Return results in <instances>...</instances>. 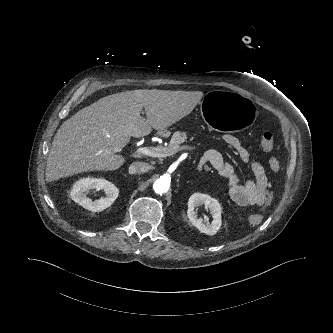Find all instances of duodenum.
Returning a JSON list of instances; mask_svg holds the SVG:
<instances>
[{
  "label": "duodenum",
  "mask_w": 333,
  "mask_h": 333,
  "mask_svg": "<svg viewBox=\"0 0 333 333\" xmlns=\"http://www.w3.org/2000/svg\"><path fill=\"white\" fill-rule=\"evenodd\" d=\"M198 170H201V166L200 165H198Z\"/></svg>",
  "instance_id": "duodenum-1"
}]
</instances>
